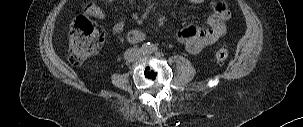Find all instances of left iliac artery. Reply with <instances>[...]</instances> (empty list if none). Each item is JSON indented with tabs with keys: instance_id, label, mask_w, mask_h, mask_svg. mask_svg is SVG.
Masks as SVG:
<instances>
[{
	"instance_id": "left-iliac-artery-1",
	"label": "left iliac artery",
	"mask_w": 303,
	"mask_h": 127,
	"mask_svg": "<svg viewBox=\"0 0 303 127\" xmlns=\"http://www.w3.org/2000/svg\"><path fill=\"white\" fill-rule=\"evenodd\" d=\"M144 48H145V52L147 54H151V53L159 50V48L156 45L151 44L149 42L144 45Z\"/></svg>"
}]
</instances>
